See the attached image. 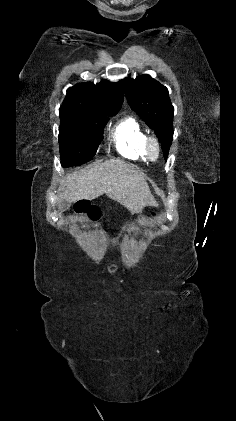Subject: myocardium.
<instances>
[{
  "label": "myocardium",
  "mask_w": 236,
  "mask_h": 421,
  "mask_svg": "<svg viewBox=\"0 0 236 421\" xmlns=\"http://www.w3.org/2000/svg\"><path fill=\"white\" fill-rule=\"evenodd\" d=\"M145 153L147 158L150 161H157L161 156V145L159 140L154 137L150 136L146 138L145 141Z\"/></svg>",
  "instance_id": "obj_1"
}]
</instances>
